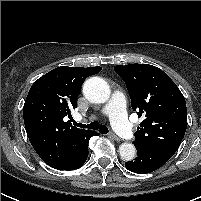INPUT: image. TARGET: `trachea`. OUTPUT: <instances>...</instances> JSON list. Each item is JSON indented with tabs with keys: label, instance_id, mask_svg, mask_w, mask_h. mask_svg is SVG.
I'll use <instances>...</instances> for the list:
<instances>
[{
	"label": "trachea",
	"instance_id": "1",
	"mask_svg": "<svg viewBox=\"0 0 201 201\" xmlns=\"http://www.w3.org/2000/svg\"><path fill=\"white\" fill-rule=\"evenodd\" d=\"M76 126H80L81 128H88L92 130H98L101 134H107L109 132L108 128L106 125L100 124L97 121H94L88 125L85 124H79L75 122Z\"/></svg>",
	"mask_w": 201,
	"mask_h": 201
}]
</instances>
